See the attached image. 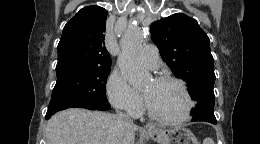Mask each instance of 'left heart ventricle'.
I'll return each mask as SVG.
<instances>
[{
  "mask_svg": "<svg viewBox=\"0 0 260 144\" xmlns=\"http://www.w3.org/2000/svg\"><path fill=\"white\" fill-rule=\"evenodd\" d=\"M143 93L151 109L161 116L180 118L186 112V98L175 84L150 81L143 88Z\"/></svg>",
  "mask_w": 260,
  "mask_h": 144,
  "instance_id": "1",
  "label": "left heart ventricle"
}]
</instances>
